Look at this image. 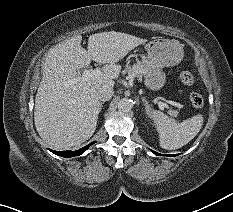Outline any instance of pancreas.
<instances>
[{
	"label": "pancreas",
	"instance_id": "1",
	"mask_svg": "<svg viewBox=\"0 0 233 212\" xmlns=\"http://www.w3.org/2000/svg\"><path fill=\"white\" fill-rule=\"evenodd\" d=\"M146 71L145 67L140 63L133 65L132 67L127 66L124 70V73H128V77H141V75ZM171 116H176L177 111L170 109L168 112Z\"/></svg>",
	"mask_w": 233,
	"mask_h": 212
}]
</instances>
